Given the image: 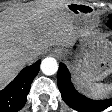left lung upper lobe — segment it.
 Instances as JSON below:
<instances>
[{"label":"left lung upper lobe","instance_id":"5c2ea615","mask_svg":"<svg viewBox=\"0 0 112 112\" xmlns=\"http://www.w3.org/2000/svg\"><path fill=\"white\" fill-rule=\"evenodd\" d=\"M109 22H112V15H109Z\"/></svg>","mask_w":112,"mask_h":112}]
</instances>
